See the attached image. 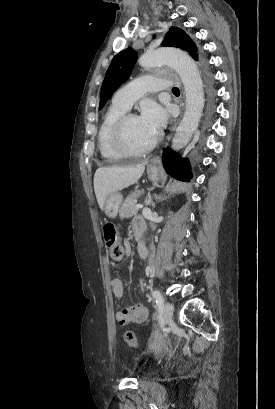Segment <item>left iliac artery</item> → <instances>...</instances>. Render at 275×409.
Wrapping results in <instances>:
<instances>
[{
    "label": "left iliac artery",
    "mask_w": 275,
    "mask_h": 409,
    "mask_svg": "<svg viewBox=\"0 0 275 409\" xmlns=\"http://www.w3.org/2000/svg\"><path fill=\"white\" fill-rule=\"evenodd\" d=\"M152 297H153L154 300H155L157 311H158V312H162V311H163V305H164L163 302H164V301H163V297H162L160 291H158V290H153V291H152Z\"/></svg>",
    "instance_id": "1"
}]
</instances>
